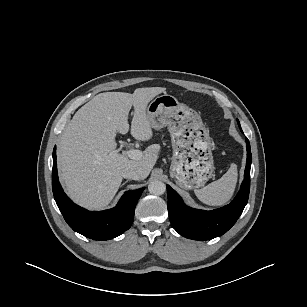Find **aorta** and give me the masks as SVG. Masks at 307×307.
<instances>
[{"instance_id": "762f6f07", "label": "aorta", "mask_w": 307, "mask_h": 307, "mask_svg": "<svg viewBox=\"0 0 307 307\" xmlns=\"http://www.w3.org/2000/svg\"><path fill=\"white\" fill-rule=\"evenodd\" d=\"M148 191L153 195H162L166 191V185L159 180H154L149 183Z\"/></svg>"}]
</instances>
